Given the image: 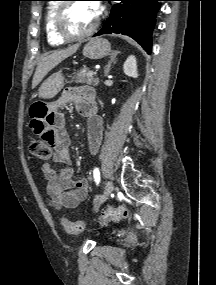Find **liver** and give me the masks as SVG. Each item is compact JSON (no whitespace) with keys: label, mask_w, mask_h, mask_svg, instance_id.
<instances>
[{"label":"liver","mask_w":216,"mask_h":285,"mask_svg":"<svg viewBox=\"0 0 216 285\" xmlns=\"http://www.w3.org/2000/svg\"><path fill=\"white\" fill-rule=\"evenodd\" d=\"M79 46V44H76L67 49L54 51L53 53L42 57L33 76L32 88H35L50 70L67 57L73 55L78 50Z\"/></svg>","instance_id":"6515ba94"}]
</instances>
